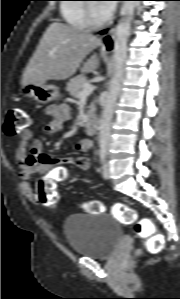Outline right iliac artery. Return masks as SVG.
<instances>
[{
  "instance_id": "obj_1",
  "label": "right iliac artery",
  "mask_w": 180,
  "mask_h": 299,
  "mask_svg": "<svg viewBox=\"0 0 180 299\" xmlns=\"http://www.w3.org/2000/svg\"><path fill=\"white\" fill-rule=\"evenodd\" d=\"M100 159H101V163L104 164L106 161V150L100 151Z\"/></svg>"
}]
</instances>
